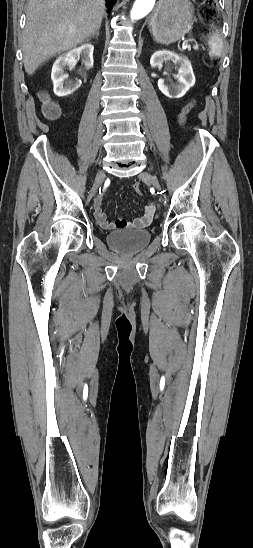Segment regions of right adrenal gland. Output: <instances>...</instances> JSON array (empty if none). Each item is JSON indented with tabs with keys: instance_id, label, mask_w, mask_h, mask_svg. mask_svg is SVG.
Segmentation results:
<instances>
[{
	"instance_id": "right-adrenal-gland-1",
	"label": "right adrenal gland",
	"mask_w": 253,
	"mask_h": 548,
	"mask_svg": "<svg viewBox=\"0 0 253 548\" xmlns=\"http://www.w3.org/2000/svg\"><path fill=\"white\" fill-rule=\"evenodd\" d=\"M94 37H95L96 39H98V37H99V30H97L94 34H92V35L90 36L89 40H90L91 38H94Z\"/></svg>"
}]
</instances>
